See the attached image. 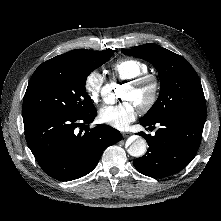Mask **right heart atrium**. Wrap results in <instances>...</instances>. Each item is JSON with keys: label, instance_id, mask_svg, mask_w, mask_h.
<instances>
[{"label": "right heart atrium", "instance_id": "obj_1", "mask_svg": "<svg viewBox=\"0 0 221 221\" xmlns=\"http://www.w3.org/2000/svg\"><path fill=\"white\" fill-rule=\"evenodd\" d=\"M104 81V75L97 70H92L86 75L83 87L92 102L96 103L101 99Z\"/></svg>", "mask_w": 221, "mask_h": 221}]
</instances>
